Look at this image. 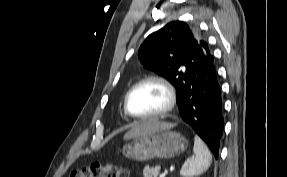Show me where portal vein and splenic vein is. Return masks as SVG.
I'll return each instance as SVG.
<instances>
[{"label": "portal vein and splenic vein", "instance_id": "1", "mask_svg": "<svg viewBox=\"0 0 287 177\" xmlns=\"http://www.w3.org/2000/svg\"><path fill=\"white\" fill-rule=\"evenodd\" d=\"M166 174H167V171H164V172L160 175V177H165Z\"/></svg>", "mask_w": 287, "mask_h": 177}]
</instances>
